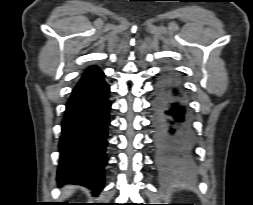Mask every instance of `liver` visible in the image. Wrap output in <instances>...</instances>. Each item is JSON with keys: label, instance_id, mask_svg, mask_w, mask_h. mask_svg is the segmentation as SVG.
<instances>
[{"label": "liver", "instance_id": "6515ba94", "mask_svg": "<svg viewBox=\"0 0 253 205\" xmlns=\"http://www.w3.org/2000/svg\"><path fill=\"white\" fill-rule=\"evenodd\" d=\"M73 188L71 186H66L63 188V193L65 196H69L72 194Z\"/></svg>", "mask_w": 253, "mask_h": 205}]
</instances>
